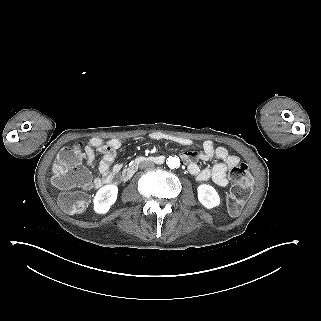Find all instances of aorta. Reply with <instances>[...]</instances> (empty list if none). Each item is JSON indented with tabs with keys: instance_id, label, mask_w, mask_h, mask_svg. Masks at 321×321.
<instances>
[{
	"instance_id": "762f6f07",
	"label": "aorta",
	"mask_w": 321,
	"mask_h": 321,
	"mask_svg": "<svg viewBox=\"0 0 321 321\" xmlns=\"http://www.w3.org/2000/svg\"><path fill=\"white\" fill-rule=\"evenodd\" d=\"M167 165L171 169L178 168L180 166V159L178 157H172L170 156L167 161Z\"/></svg>"
}]
</instances>
